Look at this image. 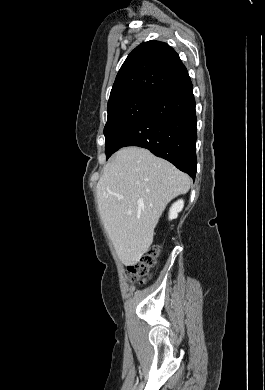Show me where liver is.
Instances as JSON below:
<instances>
[{
	"instance_id": "obj_1",
	"label": "liver",
	"mask_w": 265,
	"mask_h": 390,
	"mask_svg": "<svg viewBox=\"0 0 265 390\" xmlns=\"http://www.w3.org/2000/svg\"><path fill=\"white\" fill-rule=\"evenodd\" d=\"M190 186L187 174L144 148H122L106 164L96 188L98 207L125 266L149 250L166 205Z\"/></svg>"
}]
</instances>
